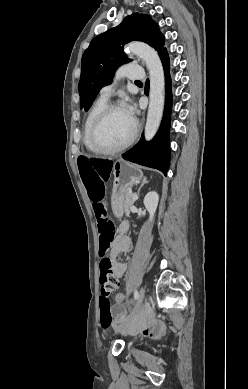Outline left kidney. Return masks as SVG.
Masks as SVG:
<instances>
[{
    "label": "left kidney",
    "mask_w": 248,
    "mask_h": 389,
    "mask_svg": "<svg viewBox=\"0 0 248 389\" xmlns=\"http://www.w3.org/2000/svg\"><path fill=\"white\" fill-rule=\"evenodd\" d=\"M158 201H159V196L154 191L147 193L145 198H144L143 203H144L145 208L149 212L150 221L153 219V216L156 212Z\"/></svg>",
    "instance_id": "5707ae66"
}]
</instances>
